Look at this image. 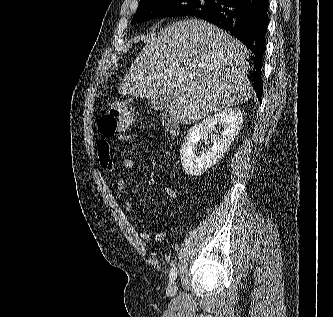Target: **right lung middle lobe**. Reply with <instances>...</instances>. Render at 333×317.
Listing matches in <instances>:
<instances>
[{"label":"right lung middle lobe","mask_w":333,"mask_h":317,"mask_svg":"<svg viewBox=\"0 0 333 317\" xmlns=\"http://www.w3.org/2000/svg\"><path fill=\"white\" fill-rule=\"evenodd\" d=\"M223 2L222 0H142L132 23H140L165 16H195L217 8Z\"/></svg>","instance_id":"obj_1"}]
</instances>
